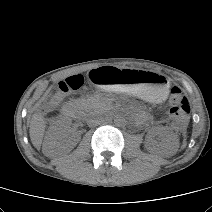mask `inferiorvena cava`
Listing matches in <instances>:
<instances>
[{"instance_id":"1","label":"inferior vena cava","mask_w":212,"mask_h":212,"mask_svg":"<svg viewBox=\"0 0 212 212\" xmlns=\"http://www.w3.org/2000/svg\"><path fill=\"white\" fill-rule=\"evenodd\" d=\"M102 122H103V119L101 117H97V116L91 117L87 120V124L90 127L100 125Z\"/></svg>"}]
</instances>
